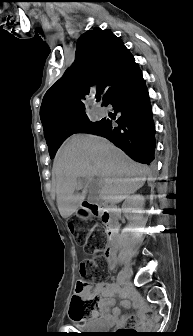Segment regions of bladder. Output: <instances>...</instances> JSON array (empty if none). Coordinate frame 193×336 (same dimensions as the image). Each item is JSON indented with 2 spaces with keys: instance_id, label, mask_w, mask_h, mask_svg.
I'll use <instances>...</instances> for the list:
<instances>
[{
  "instance_id": "bladder-1",
  "label": "bladder",
  "mask_w": 193,
  "mask_h": 336,
  "mask_svg": "<svg viewBox=\"0 0 193 336\" xmlns=\"http://www.w3.org/2000/svg\"><path fill=\"white\" fill-rule=\"evenodd\" d=\"M84 328L88 331H101L104 329V323L101 320L89 321Z\"/></svg>"
}]
</instances>
